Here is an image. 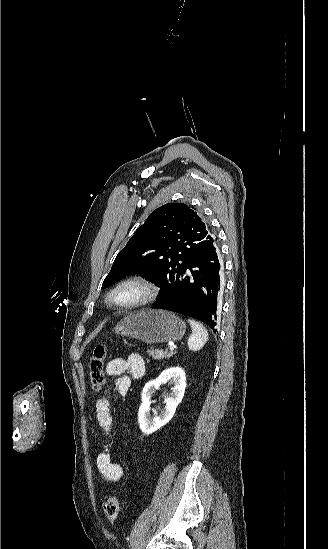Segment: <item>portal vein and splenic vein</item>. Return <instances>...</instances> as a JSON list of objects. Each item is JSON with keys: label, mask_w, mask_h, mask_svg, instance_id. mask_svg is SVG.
<instances>
[{"label": "portal vein and splenic vein", "mask_w": 328, "mask_h": 549, "mask_svg": "<svg viewBox=\"0 0 328 549\" xmlns=\"http://www.w3.org/2000/svg\"><path fill=\"white\" fill-rule=\"evenodd\" d=\"M169 351H174V347H170V348H169Z\"/></svg>", "instance_id": "1"}]
</instances>
